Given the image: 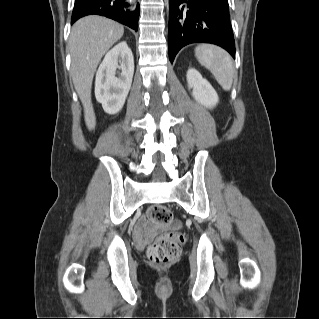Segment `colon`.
<instances>
[{
  "label": "colon",
  "instance_id": "colon-1",
  "mask_svg": "<svg viewBox=\"0 0 319 319\" xmlns=\"http://www.w3.org/2000/svg\"><path fill=\"white\" fill-rule=\"evenodd\" d=\"M172 212L164 205H154L148 211V220L158 224H170ZM186 238L181 233H165L148 248L147 258L151 265L162 266L175 262L181 252Z\"/></svg>",
  "mask_w": 319,
  "mask_h": 319
}]
</instances>
